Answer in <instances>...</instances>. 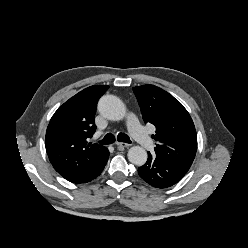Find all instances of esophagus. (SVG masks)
I'll use <instances>...</instances> for the list:
<instances>
[{
    "mask_svg": "<svg viewBox=\"0 0 248 248\" xmlns=\"http://www.w3.org/2000/svg\"><path fill=\"white\" fill-rule=\"evenodd\" d=\"M116 146L119 150H123L127 147H129V144L128 143H123V142H117L116 143Z\"/></svg>",
    "mask_w": 248,
    "mask_h": 248,
    "instance_id": "34e87169",
    "label": "esophagus"
}]
</instances>
